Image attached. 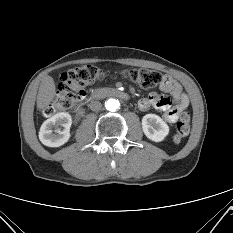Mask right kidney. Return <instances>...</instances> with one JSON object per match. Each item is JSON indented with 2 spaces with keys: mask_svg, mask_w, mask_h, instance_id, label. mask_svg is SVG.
I'll list each match as a JSON object with an SVG mask.
<instances>
[{
  "mask_svg": "<svg viewBox=\"0 0 233 233\" xmlns=\"http://www.w3.org/2000/svg\"><path fill=\"white\" fill-rule=\"evenodd\" d=\"M72 118L69 113L61 112L43 122L39 132L40 141L48 147H59L70 138Z\"/></svg>",
  "mask_w": 233,
  "mask_h": 233,
  "instance_id": "right-kidney-1",
  "label": "right kidney"
}]
</instances>
